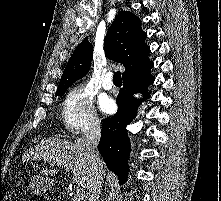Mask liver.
<instances>
[{
    "label": "liver",
    "mask_w": 221,
    "mask_h": 201,
    "mask_svg": "<svg viewBox=\"0 0 221 201\" xmlns=\"http://www.w3.org/2000/svg\"><path fill=\"white\" fill-rule=\"evenodd\" d=\"M22 160L24 162L44 161L52 167L68 166L72 168V179L75 184L83 188H87L89 185L91 164L87 142L84 138H78L74 142L58 138L43 139L34 148L27 150L22 156ZM41 173L52 176L57 174V170L43 169Z\"/></svg>",
    "instance_id": "1"
}]
</instances>
